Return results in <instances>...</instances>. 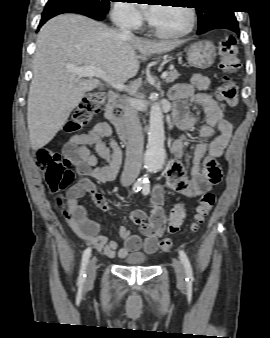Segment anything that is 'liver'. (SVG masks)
I'll return each mask as SVG.
<instances>
[{"label":"liver","mask_w":270,"mask_h":338,"mask_svg":"<svg viewBox=\"0 0 270 338\" xmlns=\"http://www.w3.org/2000/svg\"><path fill=\"white\" fill-rule=\"evenodd\" d=\"M181 43L124 37L81 15L64 14L50 19L37 36L28 94L27 124L32 149L48 144L85 93L100 84L99 79H80L67 72L68 66L97 67L111 81L123 84L138 73L140 58L167 53Z\"/></svg>","instance_id":"liver-1"}]
</instances>
